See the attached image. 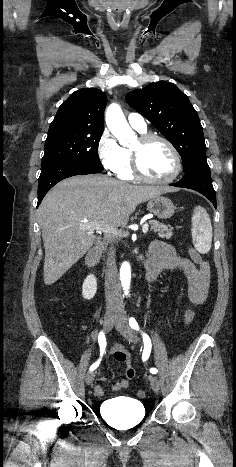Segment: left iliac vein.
<instances>
[{
    "instance_id": "1",
    "label": "left iliac vein",
    "mask_w": 236,
    "mask_h": 467,
    "mask_svg": "<svg viewBox=\"0 0 236 467\" xmlns=\"http://www.w3.org/2000/svg\"><path fill=\"white\" fill-rule=\"evenodd\" d=\"M117 330L125 337L129 342L136 343L137 337L132 328L130 327L125 313H121L115 323ZM151 387L155 393L160 390V380L157 376H150L149 378Z\"/></svg>"
}]
</instances>
